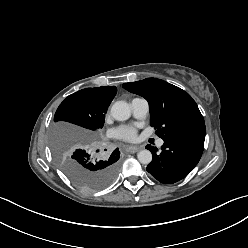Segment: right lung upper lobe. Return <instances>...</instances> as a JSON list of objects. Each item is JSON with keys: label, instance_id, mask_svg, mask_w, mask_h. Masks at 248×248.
<instances>
[{"label": "right lung upper lobe", "instance_id": "obj_1", "mask_svg": "<svg viewBox=\"0 0 248 248\" xmlns=\"http://www.w3.org/2000/svg\"><path fill=\"white\" fill-rule=\"evenodd\" d=\"M84 92L92 98H95L97 100L111 103L114 96L116 95L117 88L115 86H103V87H97V88H86L83 89Z\"/></svg>", "mask_w": 248, "mask_h": 248}]
</instances>
